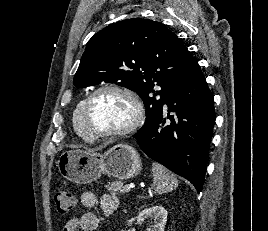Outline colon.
<instances>
[{
    "label": "colon",
    "instance_id": "5ec220e1",
    "mask_svg": "<svg viewBox=\"0 0 268 231\" xmlns=\"http://www.w3.org/2000/svg\"><path fill=\"white\" fill-rule=\"evenodd\" d=\"M76 197L68 191H58L54 196V202L58 213L66 214L76 205Z\"/></svg>",
    "mask_w": 268,
    "mask_h": 231
}]
</instances>
